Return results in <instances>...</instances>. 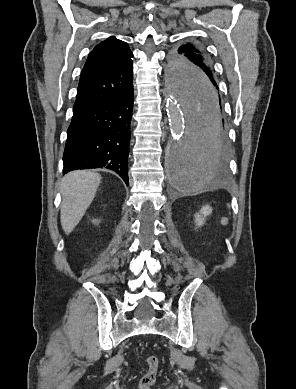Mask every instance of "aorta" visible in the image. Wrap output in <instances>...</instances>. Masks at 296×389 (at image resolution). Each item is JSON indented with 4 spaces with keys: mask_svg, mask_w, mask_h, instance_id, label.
<instances>
[{
    "mask_svg": "<svg viewBox=\"0 0 296 389\" xmlns=\"http://www.w3.org/2000/svg\"><path fill=\"white\" fill-rule=\"evenodd\" d=\"M166 110L171 139L166 146L170 189H206L221 161L217 130L219 93L204 72L165 68Z\"/></svg>",
    "mask_w": 296,
    "mask_h": 389,
    "instance_id": "762f6f07",
    "label": "aorta"
}]
</instances>
